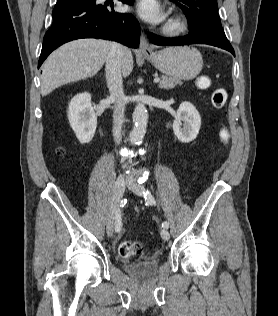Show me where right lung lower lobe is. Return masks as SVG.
I'll return each mask as SVG.
<instances>
[{
  "label": "right lung lower lobe",
  "instance_id": "right-lung-lower-lobe-1",
  "mask_svg": "<svg viewBox=\"0 0 278 316\" xmlns=\"http://www.w3.org/2000/svg\"><path fill=\"white\" fill-rule=\"evenodd\" d=\"M132 4L134 0H120ZM113 3L96 4V0H64L57 2L53 24L46 32L38 62L60 45L80 38H100L120 42L128 47L139 46L140 26L133 15L114 11Z\"/></svg>",
  "mask_w": 278,
  "mask_h": 316
}]
</instances>
